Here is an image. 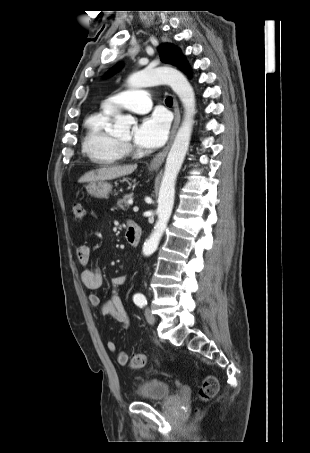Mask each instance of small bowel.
<instances>
[{
    "mask_svg": "<svg viewBox=\"0 0 310 453\" xmlns=\"http://www.w3.org/2000/svg\"><path fill=\"white\" fill-rule=\"evenodd\" d=\"M77 258L82 266H87L91 259V249L88 245H80L77 248ZM80 279L84 286L92 292L88 295L89 303L99 310L103 316H110L119 322L124 328H127L130 322L128 311L119 295L118 289L127 280L126 274L118 275L110 279L112 292L109 300L102 302L100 296L95 292L103 283V275L96 268H85L80 273ZM107 349L116 353V360L119 365L126 366L129 362V356L124 351H117L116 344L108 341Z\"/></svg>",
    "mask_w": 310,
    "mask_h": 453,
    "instance_id": "obj_1",
    "label": "small bowel"
}]
</instances>
